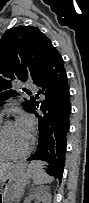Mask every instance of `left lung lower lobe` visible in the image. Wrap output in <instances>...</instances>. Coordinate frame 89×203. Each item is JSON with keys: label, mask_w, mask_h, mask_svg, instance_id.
Returning a JSON list of instances; mask_svg holds the SVG:
<instances>
[{"label": "left lung lower lobe", "mask_w": 89, "mask_h": 203, "mask_svg": "<svg viewBox=\"0 0 89 203\" xmlns=\"http://www.w3.org/2000/svg\"><path fill=\"white\" fill-rule=\"evenodd\" d=\"M33 82L39 88L36 98L42 94L45 99L41 103L34 99L30 110L39 119V139L35 153L27 160L39 161L48 175L61 181L71 105L64 62L52 44L45 50L42 67ZM37 107L40 112H36Z\"/></svg>", "instance_id": "0a47b994"}]
</instances>
